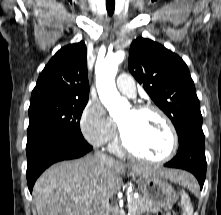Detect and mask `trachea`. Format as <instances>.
Segmentation results:
<instances>
[{
	"label": "trachea",
	"instance_id": "trachea-1",
	"mask_svg": "<svg viewBox=\"0 0 221 215\" xmlns=\"http://www.w3.org/2000/svg\"><path fill=\"white\" fill-rule=\"evenodd\" d=\"M106 9L110 16L113 15L114 9H115V3L114 0H106Z\"/></svg>",
	"mask_w": 221,
	"mask_h": 215
}]
</instances>
